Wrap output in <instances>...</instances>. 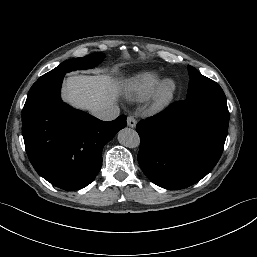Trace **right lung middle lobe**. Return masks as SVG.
<instances>
[{"label":"right lung middle lobe","mask_w":257,"mask_h":257,"mask_svg":"<svg viewBox=\"0 0 257 257\" xmlns=\"http://www.w3.org/2000/svg\"><path fill=\"white\" fill-rule=\"evenodd\" d=\"M104 58H105V55L103 53H93L85 57L70 59L61 63L55 69L44 74L40 78H52L73 70H83V69L93 68L97 66L99 63H101Z\"/></svg>","instance_id":"obj_1"}]
</instances>
